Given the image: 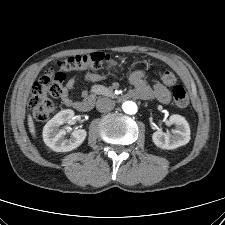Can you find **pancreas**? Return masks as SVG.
Here are the masks:
<instances>
[{"mask_svg":"<svg viewBox=\"0 0 225 225\" xmlns=\"http://www.w3.org/2000/svg\"><path fill=\"white\" fill-rule=\"evenodd\" d=\"M91 92L94 94H102V95H111L112 94V91L103 85L92 86Z\"/></svg>","mask_w":225,"mask_h":225,"instance_id":"cf45deb5","label":"pancreas"}]
</instances>
